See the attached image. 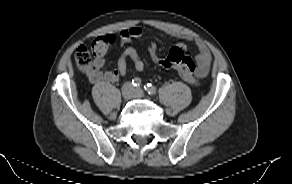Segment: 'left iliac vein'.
<instances>
[{
    "mask_svg": "<svg viewBox=\"0 0 292 184\" xmlns=\"http://www.w3.org/2000/svg\"><path fill=\"white\" fill-rule=\"evenodd\" d=\"M133 97H135V98H142V97H144V91H143V89H140V88L135 89L133 91Z\"/></svg>",
    "mask_w": 292,
    "mask_h": 184,
    "instance_id": "1",
    "label": "left iliac vein"
}]
</instances>
